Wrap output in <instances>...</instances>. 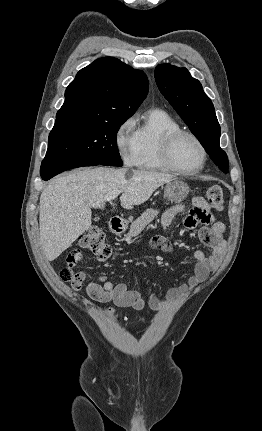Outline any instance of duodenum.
Wrapping results in <instances>:
<instances>
[{"mask_svg":"<svg viewBox=\"0 0 262 431\" xmlns=\"http://www.w3.org/2000/svg\"><path fill=\"white\" fill-rule=\"evenodd\" d=\"M124 221L119 217H112L110 219V229L113 233L118 234L124 230Z\"/></svg>","mask_w":262,"mask_h":431,"instance_id":"duodenum-1","label":"duodenum"}]
</instances>
